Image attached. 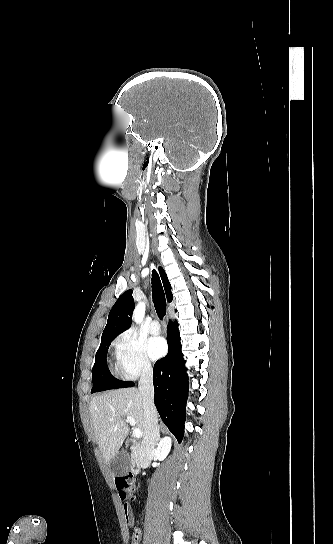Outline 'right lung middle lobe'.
Returning a JSON list of instances; mask_svg holds the SVG:
<instances>
[{"label":"right lung middle lobe","instance_id":"dd1d6c3e","mask_svg":"<svg viewBox=\"0 0 333 544\" xmlns=\"http://www.w3.org/2000/svg\"><path fill=\"white\" fill-rule=\"evenodd\" d=\"M115 337L101 340L99 349L96 352L95 364L93 366L91 393L128 387L133 382H124L111 375L107 366V352L111 342Z\"/></svg>","mask_w":333,"mask_h":544}]
</instances>
